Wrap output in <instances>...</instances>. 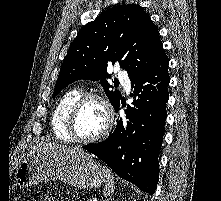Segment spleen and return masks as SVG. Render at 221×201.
Here are the masks:
<instances>
[{"label": "spleen", "mask_w": 221, "mask_h": 201, "mask_svg": "<svg viewBox=\"0 0 221 201\" xmlns=\"http://www.w3.org/2000/svg\"><path fill=\"white\" fill-rule=\"evenodd\" d=\"M105 172H106L107 183H106L105 188L103 190V194H104V196H110L113 194L114 188H115L114 176L108 168H105Z\"/></svg>", "instance_id": "1"}]
</instances>
